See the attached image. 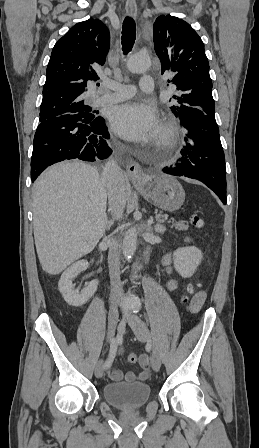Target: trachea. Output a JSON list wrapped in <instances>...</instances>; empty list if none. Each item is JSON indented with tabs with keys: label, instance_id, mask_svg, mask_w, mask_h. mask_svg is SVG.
Masks as SVG:
<instances>
[{
	"label": "trachea",
	"instance_id": "1",
	"mask_svg": "<svg viewBox=\"0 0 259 448\" xmlns=\"http://www.w3.org/2000/svg\"><path fill=\"white\" fill-rule=\"evenodd\" d=\"M136 39V25L132 18L126 17L122 25V50L125 54L131 51ZM99 86V83L97 84Z\"/></svg>",
	"mask_w": 259,
	"mask_h": 448
}]
</instances>
